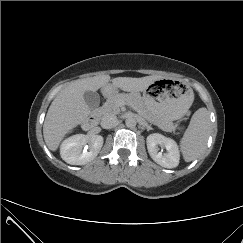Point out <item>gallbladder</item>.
Wrapping results in <instances>:
<instances>
[{
    "instance_id": "obj_1",
    "label": "gallbladder",
    "mask_w": 243,
    "mask_h": 243,
    "mask_svg": "<svg viewBox=\"0 0 243 243\" xmlns=\"http://www.w3.org/2000/svg\"><path fill=\"white\" fill-rule=\"evenodd\" d=\"M84 100H85L86 104L89 106V108L95 109L99 105L100 96L97 92L86 91L84 93Z\"/></svg>"
}]
</instances>
